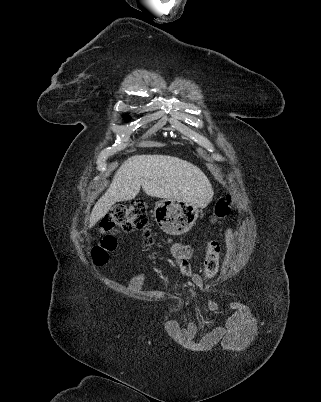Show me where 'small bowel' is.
I'll use <instances>...</instances> for the list:
<instances>
[{
	"label": "small bowel",
	"instance_id": "c3829d8e",
	"mask_svg": "<svg viewBox=\"0 0 321 402\" xmlns=\"http://www.w3.org/2000/svg\"><path fill=\"white\" fill-rule=\"evenodd\" d=\"M226 238L229 242L232 241L231 228H227ZM170 250L182 275L190 279L195 285L201 286L203 284L202 276L193 269L189 261L193 256L192 247L183 243H171ZM143 280L144 276L138 274L131 280L130 286L136 288L141 285ZM205 308L207 311H215L217 305L215 302H207ZM230 308L233 311L230 312V320H226L225 326L217 325L213 330L203 331V328L196 326L194 321H191L184 328L176 323H171L169 332L184 345L189 346L190 350H199L201 345L202 352L212 353L215 347L221 345L222 341L224 347H233V351H242V347L245 346V339L256 338V331L251 329H257L259 323L257 320H252L253 313L247 302H233ZM195 335H197V341H194ZM247 345H252V340H247Z\"/></svg>",
	"mask_w": 321,
	"mask_h": 402
}]
</instances>
